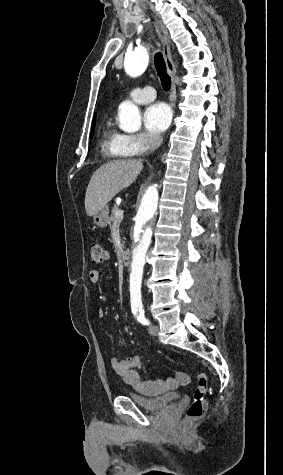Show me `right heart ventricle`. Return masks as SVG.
Returning a JSON list of instances; mask_svg holds the SVG:
<instances>
[{"mask_svg": "<svg viewBox=\"0 0 283 475\" xmlns=\"http://www.w3.org/2000/svg\"><path fill=\"white\" fill-rule=\"evenodd\" d=\"M121 136L117 126L111 119H107L101 126V145L109 159H119L121 157L117 149V141Z\"/></svg>", "mask_w": 283, "mask_h": 475, "instance_id": "e07e8e85", "label": "right heart ventricle"}]
</instances>
